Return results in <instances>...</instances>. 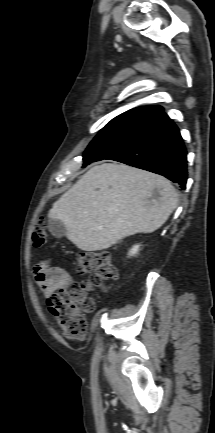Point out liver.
<instances>
[{
    "instance_id": "6515ba94",
    "label": "liver",
    "mask_w": 215,
    "mask_h": 433,
    "mask_svg": "<svg viewBox=\"0 0 215 433\" xmlns=\"http://www.w3.org/2000/svg\"><path fill=\"white\" fill-rule=\"evenodd\" d=\"M172 183L124 164L103 163L87 171L50 209L65 235L83 251L107 249L137 233L160 228L177 207Z\"/></svg>"
}]
</instances>
